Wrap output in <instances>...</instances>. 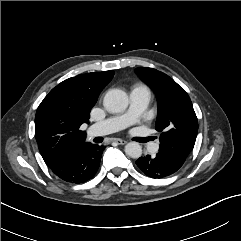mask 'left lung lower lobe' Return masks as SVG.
Masks as SVG:
<instances>
[{
	"instance_id": "0a47b994",
	"label": "left lung lower lobe",
	"mask_w": 241,
	"mask_h": 241,
	"mask_svg": "<svg viewBox=\"0 0 241 241\" xmlns=\"http://www.w3.org/2000/svg\"><path fill=\"white\" fill-rule=\"evenodd\" d=\"M139 169L151 178H163L174 174L180 167L165 161L158 154L156 156L140 157L136 161Z\"/></svg>"
}]
</instances>
